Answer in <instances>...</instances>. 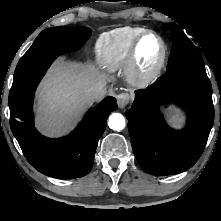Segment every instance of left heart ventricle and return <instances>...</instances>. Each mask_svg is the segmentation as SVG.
I'll use <instances>...</instances> for the list:
<instances>
[{"mask_svg": "<svg viewBox=\"0 0 221 221\" xmlns=\"http://www.w3.org/2000/svg\"><path fill=\"white\" fill-rule=\"evenodd\" d=\"M161 53L159 40L149 35L144 38L139 48V63L143 70H149L157 63Z\"/></svg>", "mask_w": 221, "mask_h": 221, "instance_id": "1", "label": "left heart ventricle"}]
</instances>
